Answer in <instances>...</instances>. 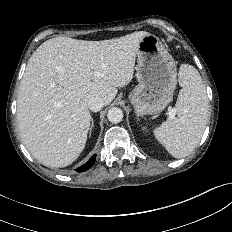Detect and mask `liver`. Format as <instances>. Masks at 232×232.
I'll use <instances>...</instances> for the list:
<instances>
[{"label": "liver", "instance_id": "liver-1", "mask_svg": "<svg viewBox=\"0 0 232 232\" xmlns=\"http://www.w3.org/2000/svg\"><path fill=\"white\" fill-rule=\"evenodd\" d=\"M138 31L103 41L56 37L32 54L21 80L17 121L31 155L49 167H66L83 151L90 128V98L109 105L134 73Z\"/></svg>", "mask_w": 232, "mask_h": 232}]
</instances>
